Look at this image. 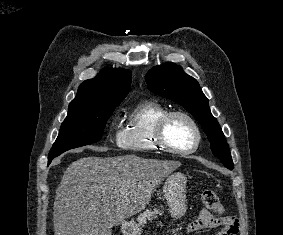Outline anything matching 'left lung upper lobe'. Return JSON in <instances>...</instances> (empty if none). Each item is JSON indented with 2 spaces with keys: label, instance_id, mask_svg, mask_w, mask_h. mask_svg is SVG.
<instances>
[{
  "label": "left lung upper lobe",
  "instance_id": "1",
  "mask_svg": "<svg viewBox=\"0 0 283 235\" xmlns=\"http://www.w3.org/2000/svg\"><path fill=\"white\" fill-rule=\"evenodd\" d=\"M145 80L152 92L180 104L197 118L208 136L214 156L221 161H232L224 134L196 79L187 75L180 66L167 63L153 67Z\"/></svg>",
  "mask_w": 283,
  "mask_h": 235
}]
</instances>
